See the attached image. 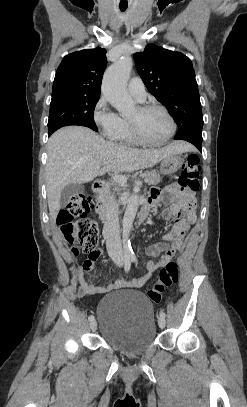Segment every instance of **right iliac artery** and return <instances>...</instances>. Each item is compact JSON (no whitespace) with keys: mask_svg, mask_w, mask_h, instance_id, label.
I'll return each mask as SVG.
<instances>
[{"mask_svg":"<svg viewBox=\"0 0 247 407\" xmlns=\"http://www.w3.org/2000/svg\"><path fill=\"white\" fill-rule=\"evenodd\" d=\"M130 267H131V258H130V257H125V258H124V269H125V272H128V271L130 270ZM88 320H89V321H93V320H94V316H93V315H90V316L88 317Z\"/></svg>","mask_w":247,"mask_h":407,"instance_id":"1","label":"right iliac artery"}]
</instances>
